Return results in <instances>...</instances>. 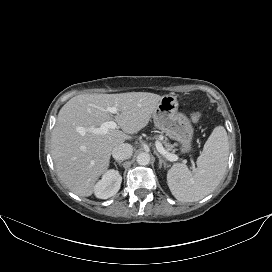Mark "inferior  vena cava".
Wrapping results in <instances>:
<instances>
[{
	"label": "inferior vena cava",
	"mask_w": 272,
	"mask_h": 272,
	"mask_svg": "<svg viewBox=\"0 0 272 272\" xmlns=\"http://www.w3.org/2000/svg\"><path fill=\"white\" fill-rule=\"evenodd\" d=\"M132 153L133 148L128 143H122L112 150L113 158L118 161L129 159L132 156Z\"/></svg>",
	"instance_id": "1"
}]
</instances>
